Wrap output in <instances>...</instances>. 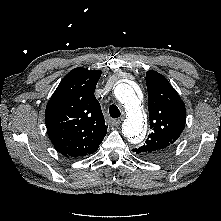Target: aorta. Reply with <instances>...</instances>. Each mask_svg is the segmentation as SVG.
Masks as SVG:
<instances>
[{"label": "aorta", "instance_id": "762f6f07", "mask_svg": "<svg viewBox=\"0 0 221 221\" xmlns=\"http://www.w3.org/2000/svg\"><path fill=\"white\" fill-rule=\"evenodd\" d=\"M115 96L122 104L126 119L122 125L124 136L131 143H139L145 135L146 116L133 88L127 83H120L115 87Z\"/></svg>", "mask_w": 221, "mask_h": 221}]
</instances>
